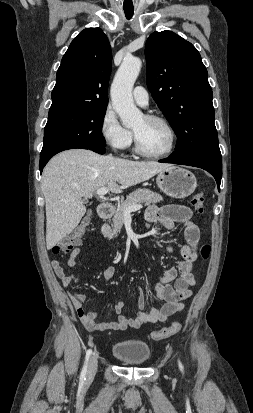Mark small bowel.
<instances>
[{
  "instance_id": "1",
  "label": "small bowel",
  "mask_w": 253,
  "mask_h": 413,
  "mask_svg": "<svg viewBox=\"0 0 253 413\" xmlns=\"http://www.w3.org/2000/svg\"><path fill=\"white\" fill-rule=\"evenodd\" d=\"M192 216V210L183 205H152L146 211V219L149 222L159 224L167 230H173L176 223H180L185 227L186 244L180 249V260L176 266H172L164 272L155 286L157 297L164 302L160 308L143 311L146 296L141 291L138 298L139 311L136 316L127 317L123 315L124 303L118 302L114 305V311L118 315L116 321H98L97 312L84 310L86 301L84 294L68 292L69 299L81 322L89 331H122L127 328H139L146 323L163 322L174 313L184 309L183 301L192 295L190 287L196 283L193 270L200 239L199 227L192 221ZM172 250V247L166 248L168 252ZM79 253V248H74L71 251L67 262L69 268L75 266ZM51 266L64 287L79 282L74 274H66L65 268L58 259L52 260ZM114 272L115 269L112 265L106 267L103 271L104 279L106 281L110 280ZM171 282H174V285H171Z\"/></svg>"
}]
</instances>
